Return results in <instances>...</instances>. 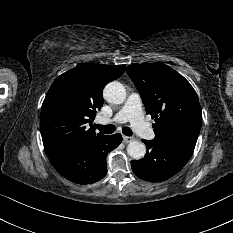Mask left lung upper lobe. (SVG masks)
Returning <instances> with one entry per match:
<instances>
[{"label": "left lung upper lobe", "instance_id": "1", "mask_svg": "<svg viewBox=\"0 0 233 233\" xmlns=\"http://www.w3.org/2000/svg\"><path fill=\"white\" fill-rule=\"evenodd\" d=\"M126 72L138 89L147 114L155 119L154 140L195 146L202 112L190 83L171 67L159 63L130 65Z\"/></svg>", "mask_w": 233, "mask_h": 233}]
</instances>
